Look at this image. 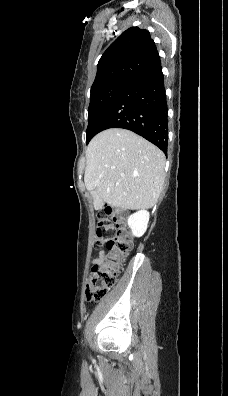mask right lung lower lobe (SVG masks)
Wrapping results in <instances>:
<instances>
[{
    "label": "right lung lower lobe",
    "mask_w": 228,
    "mask_h": 396,
    "mask_svg": "<svg viewBox=\"0 0 228 396\" xmlns=\"http://www.w3.org/2000/svg\"><path fill=\"white\" fill-rule=\"evenodd\" d=\"M95 128L96 134L109 128L131 130L167 154V105L159 57L119 94Z\"/></svg>",
    "instance_id": "obj_1"
}]
</instances>
